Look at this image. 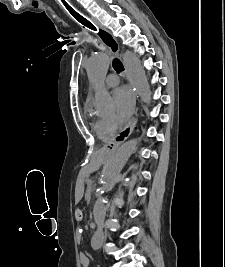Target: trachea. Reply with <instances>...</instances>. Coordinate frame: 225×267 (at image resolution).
<instances>
[{"label":"trachea","mask_w":225,"mask_h":267,"mask_svg":"<svg viewBox=\"0 0 225 267\" xmlns=\"http://www.w3.org/2000/svg\"><path fill=\"white\" fill-rule=\"evenodd\" d=\"M69 12L71 13V15L79 22L81 23L83 26L92 29L94 31H96V27L86 18H84L82 15H80L77 11H75L73 8H71L70 6H67ZM101 31V30H100ZM100 37L102 38V40L104 42L107 43V38L109 37V35L106 32H102L100 33ZM113 68L117 73H120L124 70V66L122 64V62L119 59H114L113 60Z\"/></svg>","instance_id":"obj_1"}]
</instances>
